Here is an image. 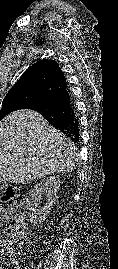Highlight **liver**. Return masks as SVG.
I'll return each instance as SVG.
<instances>
[{
  "label": "liver",
  "mask_w": 118,
  "mask_h": 269,
  "mask_svg": "<svg viewBox=\"0 0 118 269\" xmlns=\"http://www.w3.org/2000/svg\"><path fill=\"white\" fill-rule=\"evenodd\" d=\"M75 144L32 110H18L0 122V180L29 184L49 174L74 170Z\"/></svg>",
  "instance_id": "1"
}]
</instances>
